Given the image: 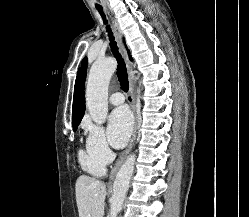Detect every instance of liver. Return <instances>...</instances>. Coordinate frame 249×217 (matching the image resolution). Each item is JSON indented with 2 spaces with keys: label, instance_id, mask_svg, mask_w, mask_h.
Wrapping results in <instances>:
<instances>
[{
  "label": "liver",
  "instance_id": "6515ba94",
  "mask_svg": "<svg viewBox=\"0 0 249 217\" xmlns=\"http://www.w3.org/2000/svg\"><path fill=\"white\" fill-rule=\"evenodd\" d=\"M75 190L79 217H103L106 185L102 181L81 175Z\"/></svg>",
  "mask_w": 249,
  "mask_h": 217
}]
</instances>
